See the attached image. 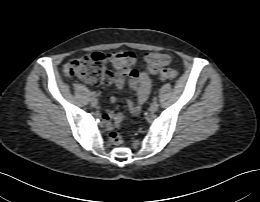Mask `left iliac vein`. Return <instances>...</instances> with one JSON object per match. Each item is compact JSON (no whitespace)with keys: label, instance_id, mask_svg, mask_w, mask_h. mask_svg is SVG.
Here are the masks:
<instances>
[{"label":"left iliac vein","instance_id":"4c4485c4","mask_svg":"<svg viewBox=\"0 0 260 202\" xmlns=\"http://www.w3.org/2000/svg\"><path fill=\"white\" fill-rule=\"evenodd\" d=\"M158 103L157 102H153L150 104V107H149V111L150 112H156L158 110Z\"/></svg>","mask_w":260,"mask_h":202}]
</instances>
